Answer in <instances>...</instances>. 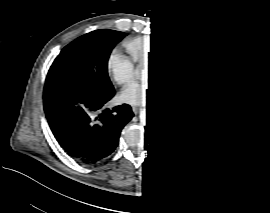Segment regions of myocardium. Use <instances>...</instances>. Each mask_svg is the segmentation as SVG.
Masks as SVG:
<instances>
[{
	"label": "myocardium",
	"instance_id": "myocardium-1",
	"mask_svg": "<svg viewBox=\"0 0 270 213\" xmlns=\"http://www.w3.org/2000/svg\"><path fill=\"white\" fill-rule=\"evenodd\" d=\"M177 52H179V54L183 53V51L181 49H178ZM161 61H163V60H154V63H156V62L161 63ZM165 64H166V61H165ZM184 83H187V77H186ZM182 86L183 85H177L176 87H173V90L174 91H179L182 88Z\"/></svg>",
	"mask_w": 270,
	"mask_h": 213
}]
</instances>
